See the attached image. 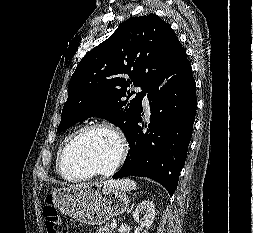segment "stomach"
Here are the masks:
<instances>
[{"label":"stomach","instance_id":"stomach-1","mask_svg":"<svg viewBox=\"0 0 253 233\" xmlns=\"http://www.w3.org/2000/svg\"><path fill=\"white\" fill-rule=\"evenodd\" d=\"M53 204L62 213L86 225H101L124 213L129 206L123 190L90 183L52 191Z\"/></svg>","mask_w":253,"mask_h":233}]
</instances>
